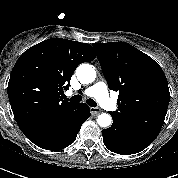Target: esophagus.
<instances>
[{
    "label": "esophagus",
    "mask_w": 178,
    "mask_h": 178,
    "mask_svg": "<svg viewBox=\"0 0 178 178\" xmlns=\"http://www.w3.org/2000/svg\"><path fill=\"white\" fill-rule=\"evenodd\" d=\"M101 109L98 107H90V112L93 116H97L98 114L101 113Z\"/></svg>",
    "instance_id": "1"
}]
</instances>
